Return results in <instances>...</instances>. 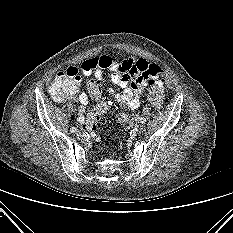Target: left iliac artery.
I'll use <instances>...</instances> for the list:
<instances>
[{"instance_id":"1","label":"left iliac artery","mask_w":233,"mask_h":233,"mask_svg":"<svg viewBox=\"0 0 233 233\" xmlns=\"http://www.w3.org/2000/svg\"><path fill=\"white\" fill-rule=\"evenodd\" d=\"M145 121H146V119L143 118V117L140 119V122H141V123H145Z\"/></svg>"}]
</instances>
